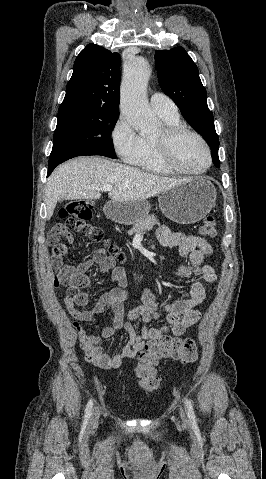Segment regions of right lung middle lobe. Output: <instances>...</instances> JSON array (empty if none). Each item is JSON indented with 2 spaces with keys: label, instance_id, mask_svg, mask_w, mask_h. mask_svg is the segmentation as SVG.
Segmentation results:
<instances>
[{
  "label": "right lung middle lobe",
  "instance_id": "1",
  "mask_svg": "<svg viewBox=\"0 0 266 479\" xmlns=\"http://www.w3.org/2000/svg\"><path fill=\"white\" fill-rule=\"evenodd\" d=\"M119 113L58 114L52 152L66 151L82 155L116 158L111 132Z\"/></svg>",
  "mask_w": 266,
  "mask_h": 479
}]
</instances>
